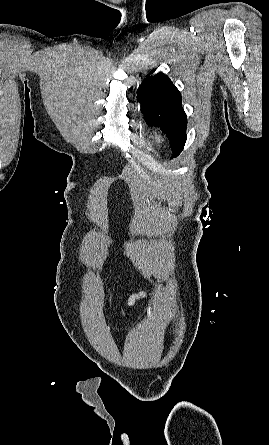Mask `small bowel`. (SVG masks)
<instances>
[{
  "instance_id": "obj_1",
  "label": "small bowel",
  "mask_w": 269,
  "mask_h": 445,
  "mask_svg": "<svg viewBox=\"0 0 269 445\" xmlns=\"http://www.w3.org/2000/svg\"><path fill=\"white\" fill-rule=\"evenodd\" d=\"M148 298V294L145 291L134 292L130 294L126 300L129 307L133 306L137 301Z\"/></svg>"
}]
</instances>
